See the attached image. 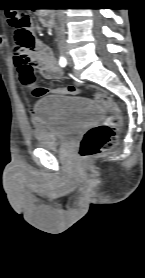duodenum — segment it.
I'll list each match as a JSON object with an SVG mask.
<instances>
[{"instance_id":"410a0bca","label":"duodenum","mask_w":145,"mask_h":278,"mask_svg":"<svg viewBox=\"0 0 145 278\" xmlns=\"http://www.w3.org/2000/svg\"><path fill=\"white\" fill-rule=\"evenodd\" d=\"M41 22L46 26H52V21L49 13H45L41 16Z\"/></svg>"}]
</instances>
